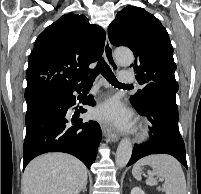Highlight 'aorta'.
<instances>
[{
	"instance_id": "1",
	"label": "aorta",
	"mask_w": 201,
	"mask_h": 194,
	"mask_svg": "<svg viewBox=\"0 0 201 194\" xmlns=\"http://www.w3.org/2000/svg\"><path fill=\"white\" fill-rule=\"evenodd\" d=\"M114 57L118 64L123 66H129L134 61L133 53L127 48H117L114 51ZM132 150L133 147L129 139L124 138L120 141L115 157V162L118 167L121 168L127 165L130 160Z\"/></svg>"
}]
</instances>
